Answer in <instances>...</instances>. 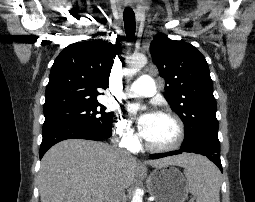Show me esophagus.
Here are the masks:
<instances>
[{
    "label": "esophagus",
    "mask_w": 255,
    "mask_h": 202,
    "mask_svg": "<svg viewBox=\"0 0 255 202\" xmlns=\"http://www.w3.org/2000/svg\"><path fill=\"white\" fill-rule=\"evenodd\" d=\"M138 166H139L140 168H143V167H144V165H143L142 162H138Z\"/></svg>",
    "instance_id": "34e87169"
}]
</instances>
